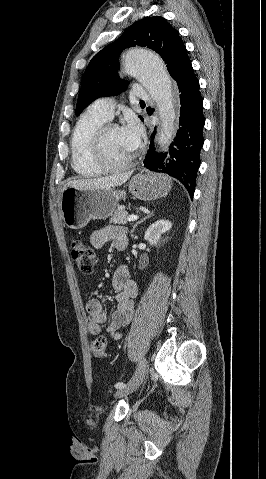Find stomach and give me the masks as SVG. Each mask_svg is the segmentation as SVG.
<instances>
[{
	"mask_svg": "<svg viewBox=\"0 0 266 479\" xmlns=\"http://www.w3.org/2000/svg\"><path fill=\"white\" fill-rule=\"evenodd\" d=\"M171 180L163 175L140 173L129 182V191L140 200H155L167 195ZM124 191L110 189L65 188L61 194L60 211L64 224L72 229L85 227L90 220L110 217L124 199Z\"/></svg>",
	"mask_w": 266,
	"mask_h": 479,
	"instance_id": "1",
	"label": "stomach"
}]
</instances>
